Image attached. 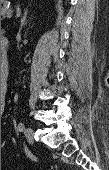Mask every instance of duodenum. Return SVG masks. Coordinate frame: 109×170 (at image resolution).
Listing matches in <instances>:
<instances>
[{
  "label": "duodenum",
  "instance_id": "410a0bca",
  "mask_svg": "<svg viewBox=\"0 0 109 170\" xmlns=\"http://www.w3.org/2000/svg\"><path fill=\"white\" fill-rule=\"evenodd\" d=\"M7 46H8V40L6 38H2L1 39V51H2V54H3V61L4 62L7 61V55H6Z\"/></svg>",
  "mask_w": 109,
  "mask_h": 170
}]
</instances>
